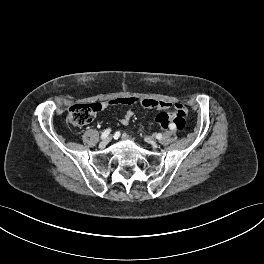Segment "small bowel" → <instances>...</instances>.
Here are the masks:
<instances>
[{"label": "small bowel", "mask_w": 264, "mask_h": 264, "mask_svg": "<svg viewBox=\"0 0 264 264\" xmlns=\"http://www.w3.org/2000/svg\"><path fill=\"white\" fill-rule=\"evenodd\" d=\"M131 99V104H134L135 102H138L141 106L145 108H150V109H157V110H166L169 109L173 106L172 103L166 102V101H158L154 99H135V98H130ZM109 102H102L101 106L103 108L107 107ZM129 104V105H131ZM180 104H175L174 107L176 108ZM133 117V112L131 110H127L123 117L121 118L120 122L122 125H128L130 120Z\"/></svg>", "instance_id": "1"}]
</instances>
